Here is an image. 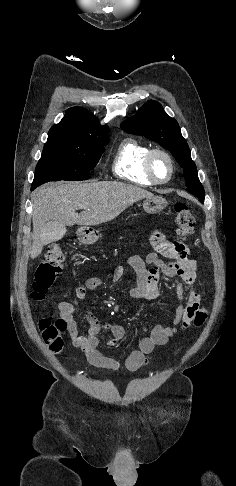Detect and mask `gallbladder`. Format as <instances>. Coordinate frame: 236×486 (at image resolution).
<instances>
[{
	"label": "gallbladder",
	"mask_w": 236,
	"mask_h": 486,
	"mask_svg": "<svg viewBox=\"0 0 236 486\" xmlns=\"http://www.w3.org/2000/svg\"><path fill=\"white\" fill-rule=\"evenodd\" d=\"M66 232L65 225L56 222L50 221L46 227L45 234L47 236L46 242H53L60 240Z\"/></svg>",
	"instance_id": "obj_1"
}]
</instances>
